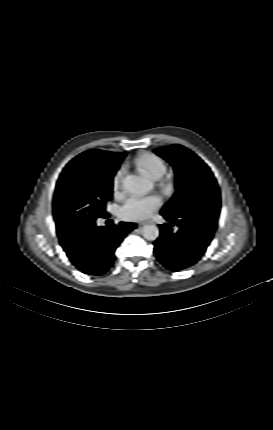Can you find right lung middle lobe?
<instances>
[{
	"label": "right lung middle lobe",
	"mask_w": 273,
	"mask_h": 430,
	"mask_svg": "<svg viewBox=\"0 0 273 430\" xmlns=\"http://www.w3.org/2000/svg\"><path fill=\"white\" fill-rule=\"evenodd\" d=\"M126 153L122 154L124 157ZM117 168L84 163L74 158L64 168L56 185L53 212L57 235L65 241L104 216L112 198Z\"/></svg>",
	"instance_id": "obj_1"
}]
</instances>
